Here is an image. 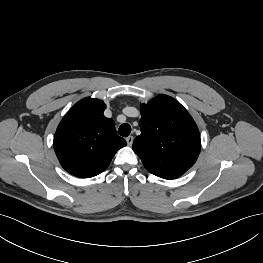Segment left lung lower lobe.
<instances>
[{"mask_svg":"<svg viewBox=\"0 0 263 263\" xmlns=\"http://www.w3.org/2000/svg\"><path fill=\"white\" fill-rule=\"evenodd\" d=\"M178 177H180V175H177V174H175V173H168V174H167V177L164 178V179H176V178H178Z\"/></svg>","mask_w":263,"mask_h":263,"instance_id":"obj_1","label":"left lung lower lobe"}]
</instances>
